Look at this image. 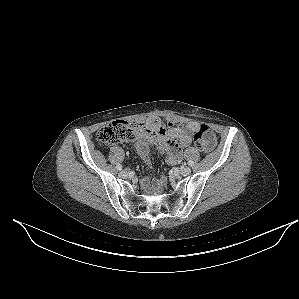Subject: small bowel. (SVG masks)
<instances>
[{"label": "small bowel", "mask_w": 299, "mask_h": 299, "mask_svg": "<svg viewBox=\"0 0 299 299\" xmlns=\"http://www.w3.org/2000/svg\"><path fill=\"white\" fill-rule=\"evenodd\" d=\"M199 126V123L189 121L183 126L166 128L159 117H148L142 129L137 132L136 150L144 162L150 166L152 164L150 147L156 146L160 152L166 154L167 163L175 165L180 162L183 149L191 145L192 137ZM210 137L214 144L215 137L211 131ZM162 183H164V178L155 180L153 186L159 188Z\"/></svg>", "instance_id": "obj_1"}]
</instances>
